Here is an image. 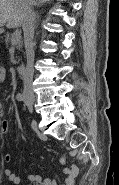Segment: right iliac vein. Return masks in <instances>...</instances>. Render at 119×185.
Instances as JSON below:
<instances>
[{
  "mask_svg": "<svg viewBox=\"0 0 119 185\" xmlns=\"http://www.w3.org/2000/svg\"><path fill=\"white\" fill-rule=\"evenodd\" d=\"M26 103H27V105L33 107L34 101L33 100H27Z\"/></svg>",
  "mask_w": 119,
  "mask_h": 185,
  "instance_id": "right-iliac-vein-1",
  "label": "right iliac vein"
}]
</instances>
